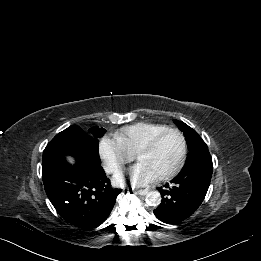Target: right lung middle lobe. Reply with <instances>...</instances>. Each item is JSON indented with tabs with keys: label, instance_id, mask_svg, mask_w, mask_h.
I'll list each match as a JSON object with an SVG mask.
<instances>
[{
	"label": "right lung middle lobe",
	"instance_id": "right-lung-middle-lobe-1",
	"mask_svg": "<svg viewBox=\"0 0 261 261\" xmlns=\"http://www.w3.org/2000/svg\"><path fill=\"white\" fill-rule=\"evenodd\" d=\"M104 128L92 127L85 133L79 126L72 125L57 134L46 146L43 152L42 167L50 170L58 162L65 160L64 155L70 154L74 148L75 141L81 139L86 146L89 155L96 161L99 160L98 137L105 133Z\"/></svg>",
	"mask_w": 261,
	"mask_h": 261
}]
</instances>
